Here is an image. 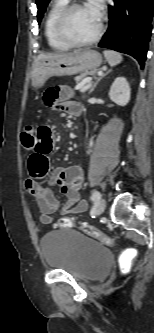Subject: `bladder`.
I'll use <instances>...</instances> for the list:
<instances>
[{"label": "bladder", "instance_id": "31cf9c89", "mask_svg": "<svg viewBox=\"0 0 154 333\" xmlns=\"http://www.w3.org/2000/svg\"><path fill=\"white\" fill-rule=\"evenodd\" d=\"M40 249L49 268L78 278L104 276L112 261L107 246L72 228L46 233Z\"/></svg>", "mask_w": 154, "mask_h": 333}]
</instances>
